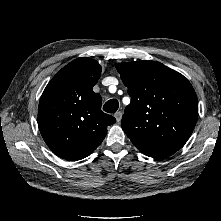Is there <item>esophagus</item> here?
Returning a JSON list of instances; mask_svg holds the SVG:
<instances>
[{
	"label": "esophagus",
	"instance_id": "34e87169",
	"mask_svg": "<svg viewBox=\"0 0 221 221\" xmlns=\"http://www.w3.org/2000/svg\"><path fill=\"white\" fill-rule=\"evenodd\" d=\"M114 117L116 118V121L119 123L121 121L122 118V112L118 111L114 114Z\"/></svg>",
	"mask_w": 221,
	"mask_h": 221
}]
</instances>
